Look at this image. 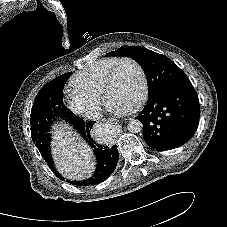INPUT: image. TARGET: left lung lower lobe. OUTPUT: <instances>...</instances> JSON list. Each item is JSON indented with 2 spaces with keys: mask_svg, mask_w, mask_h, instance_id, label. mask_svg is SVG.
I'll return each instance as SVG.
<instances>
[{
  "mask_svg": "<svg viewBox=\"0 0 227 227\" xmlns=\"http://www.w3.org/2000/svg\"><path fill=\"white\" fill-rule=\"evenodd\" d=\"M199 100L190 81L150 96L136 117L143 124V138L157 150H170L188 142L199 123Z\"/></svg>",
  "mask_w": 227,
  "mask_h": 227,
  "instance_id": "left-lung-lower-lobe-1",
  "label": "left lung lower lobe"
}]
</instances>
